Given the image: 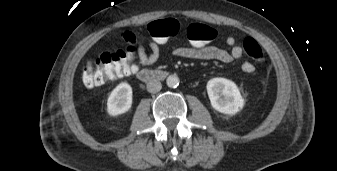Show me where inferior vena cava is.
Listing matches in <instances>:
<instances>
[{
  "mask_svg": "<svg viewBox=\"0 0 337 171\" xmlns=\"http://www.w3.org/2000/svg\"><path fill=\"white\" fill-rule=\"evenodd\" d=\"M162 88V84L159 80L157 79H153V80H150L148 83H147V90L148 92L150 93H156V92H159Z\"/></svg>",
  "mask_w": 337,
  "mask_h": 171,
  "instance_id": "1",
  "label": "inferior vena cava"
}]
</instances>
